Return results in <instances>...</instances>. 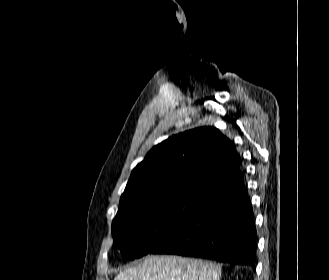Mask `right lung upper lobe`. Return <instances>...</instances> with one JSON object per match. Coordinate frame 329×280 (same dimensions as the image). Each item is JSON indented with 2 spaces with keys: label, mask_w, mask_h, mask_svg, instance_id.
Wrapping results in <instances>:
<instances>
[{
  "label": "right lung upper lobe",
  "mask_w": 329,
  "mask_h": 280,
  "mask_svg": "<svg viewBox=\"0 0 329 280\" xmlns=\"http://www.w3.org/2000/svg\"><path fill=\"white\" fill-rule=\"evenodd\" d=\"M240 171L235 145L215 127H200L154 146L132 171L120 204L177 195L204 197Z\"/></svg>",
  "instance_id": "cb5924a9"
}]
</instances>
